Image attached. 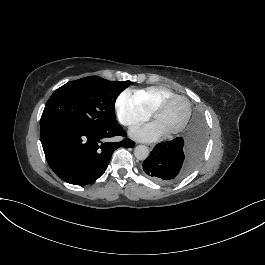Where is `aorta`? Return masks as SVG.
<instances>
[{
    "label": "aorta",
    "mask_w": 265,
    "mask_h": 265,
    "mask_svg": "<svg viewBox=\"0 0 265 265\" xmlns=\"http://www.w3.org/2000/svg\"><path fill=\"white\" fill-rule=\"evenodd\" d=\"M134 155L138 160H145L149 156V149L145 145H138L134 149Z\"/></svg>",
    "instance_id": "1"
}]
</instances>
